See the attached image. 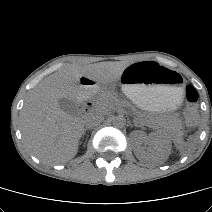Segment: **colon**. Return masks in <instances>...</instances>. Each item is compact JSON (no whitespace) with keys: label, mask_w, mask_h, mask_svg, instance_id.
Wrapping results in <instances>:
<instances>
[{"label":"colon","mask_w":212,"mask_h":212,"mask_svg":"<svg viewBox=\"0 0 212 212\" xmlns=\"http://www.w3.org/2000/svg\"><path fill=\"white\" fill-rule=\"evenodd\" d=\"M185 121L193 126L198 121V93L190 85L184 89Z\"/></svg>","instance_id":"5ec220e1"}]
</instances>
